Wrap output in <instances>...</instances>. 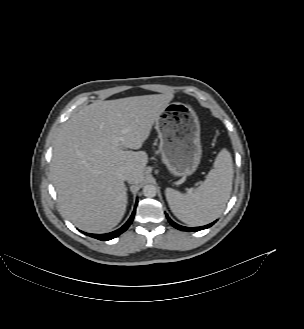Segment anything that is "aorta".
Returning <instances> with one entry per match:
<instances>
[{
  "instance_id": "1",
  "label": "aorta",
  "mask_w": 304,
  "mask_h": 329,
  "mask_svg": "<svg viewBox=\"0 0 304 329\" xmlns=\"http://www.w3.org/2000/svg\"><path fill=\"white\" fill-rule=\"evenodd\" d=\"M157 193V189L152 184H147L143 187V194L145 197L152 198L155 197Z\"/></svg>"
}]
</instances>
